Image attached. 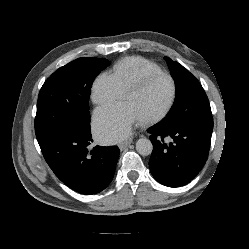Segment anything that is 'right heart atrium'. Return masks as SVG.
<instances>
[{"mask_svg":"<svg viewBox=\"0 0 249 249\" xmlns=\"http://www.w3.org/2000/svg\"><path fill=\"white\" fill-rule=\"evenodd\" d=\"M123 93L112 74L102 73L92 84L91 100L97 106H102L120 100Z\"/></svg>","mask_w":249,"mask_h":249,"instance_id":"1","label":"right heart atrium"}]
</instances>
